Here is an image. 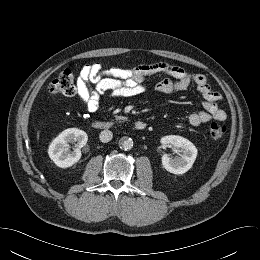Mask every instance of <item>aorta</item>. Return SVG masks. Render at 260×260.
<instances>
[{"mask_svg":"<svg viewBox=\"0 0 260 260\" xmlns=\"http://www.w3.org/2000/svg\"><path fill=\"white\" fill-rule=\"evenodd\" d=\"M119 146L121 149L127 151L133 147V140L128 137H124L119 141Z\"/></svg>","mask_w":260,"mask_h":260,"instance_id":"1","label":"aorta"}]
</instances>
